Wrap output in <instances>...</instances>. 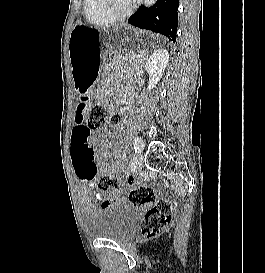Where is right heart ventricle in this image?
Masks as SVG:
<instances>
[{
    "label": "right heart ventricle",
    "mask_w": 265,
    "mask_h": 273,
    "mask_svg": "<svg viewBox=\"0 0 265 273\" xmlns=\"http://www.w3.org/2000/svg\"><path fill=\"white\" fill-rule=\"evenodd\" d=\"M83 11L86 21L94 26H104L113 23L102 11L101 0H84Z\"/></svg>",
    "instance_id": "1"
}]
</instances>
